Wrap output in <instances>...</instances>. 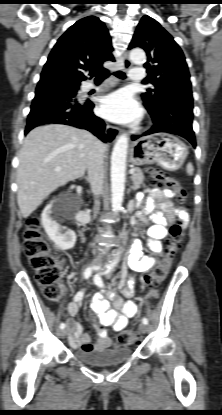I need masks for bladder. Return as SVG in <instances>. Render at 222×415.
Masks as SVG:
<instances>
[{"instance_id": "31cf9c89", "label": "bladder", "mask_w": 222, "mask_h": 415, "mask_svg": "<svg viewBox=\"0 0 222 415\" xmlns=\"http://www.w3.org/2000/svg\"><path fill=\"white\" fill-rule=\"evenodd\" d=\"M132 354V349L121 347L101 352L77 350L73 353V356L79 362L89 366L107 367L122 364L127 361Z\"/></svg>"}]
</instances>
